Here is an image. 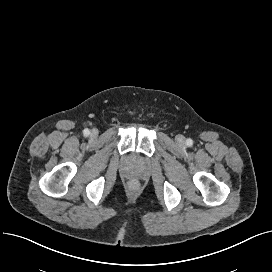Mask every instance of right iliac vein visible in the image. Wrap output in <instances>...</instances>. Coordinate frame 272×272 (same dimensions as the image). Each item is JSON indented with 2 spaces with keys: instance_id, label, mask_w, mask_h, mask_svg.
Instances as JSON below:
<instances>
[{
  "instance_id": "1",
  "label": "right iliac vein",
  "mask_w": 272,
  "mask_h": 272,
  "mask_svg": "<svg viewBox=\"0 0 272 272\" xmlns=\"http://www.w3.org/2000/svg\"><path fill=\"white\" fill-rule=\"evenodd\" d=\"M98 135V131L96 130V129H93L92 131H91V136L92 137H96Z\"/></svg>"
}]
</instances>
